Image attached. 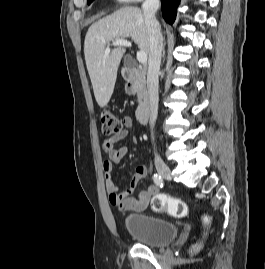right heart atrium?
I'll return each instance as SVG.
<instances>
[{
    "label": "right heart atrium",
    "instance_id": "right-heart-atrium-1",
    "mask_svg": "<svg viewBox=\"0 0 265 269\" xmlns=\"http://www.w3.org/2000/svg\"><path fill=\"white\" fill-rule=\"evenodd\" d=\"M117 1L123 4H130V3L139 2L141 0H117Z\"/></svg>",
    "mask_w": 265,
    "mask_h": 269
}]
</instances>
